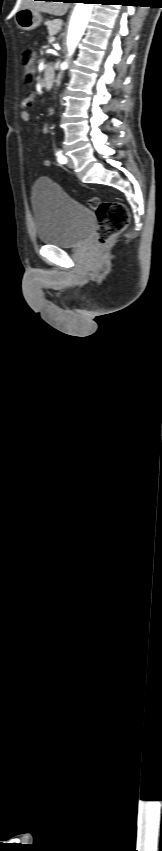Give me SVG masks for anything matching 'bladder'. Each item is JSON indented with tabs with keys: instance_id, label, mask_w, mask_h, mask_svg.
Listing matches in <instances>:
<instances>
[{
	"instance_id": "obj_1",
	"label": "bladder",
	"mask_w": 162,
	"mask_h": 851,
	"mask_svg": "<svg viewBox=\"0 0 162 851\" xmlns=\"http://www.w3.org/2000/svg\"><path fill=\"white\" fill-rule=\"evenodd\" d=\"M32 206L39 242L60 248H76L90 236L95 225L92 210L71 198L54 181L41 178L32 188Z\"/></svg>"
}]
</instances>
